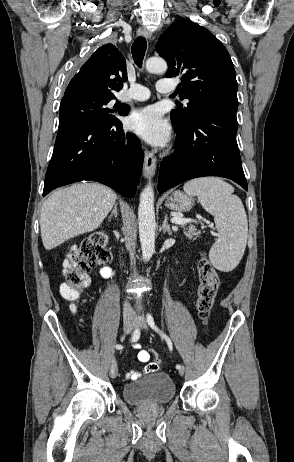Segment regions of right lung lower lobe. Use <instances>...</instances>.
<instances>
[{
	"instance_id": "1",
	"label": "right lung lower lobe",
	"mask_w": 294,
	"mask_h": 462,
	"mask_svg": "<svg viewBox=\"0 0 294 462\" xmlns=\"http://www.w3.org/2000/svg\"><path fill=\"white\" fill-rule=\"evenodd\" d=\"M143 157L138 138L124 132L118 119L65 127L58 130L43 196L60 186L92 180L134 197Z\"/></svg>"
}]
</instances>
